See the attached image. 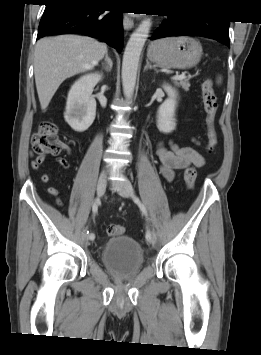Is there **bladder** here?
<instances>
[{
    "label": "bladder",
    "mask_w": 261,
    "mask_h": 355,
    "mask_svg": "<svg viewBox=\"0 0 261 355\" xmlns=\"http://www.w3.org/2000/svg\"><path fill=\"white\" fill-rule=\"evenodd\" d=\"M100 257L105 268L122 280L134 279L144 263L140 244L131 237L121 235L104 242Z\"/></svg>",
    "instance_id": "1"
}]
</instances>
